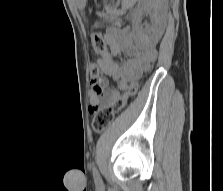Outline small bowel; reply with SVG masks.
<instances>
[{
  "label": "small bowel",
  "instance_id": "1",
  "mask_svg": "<svg viewBox=\"0 0 223 191\" xmlns=\"http://www.w3.org/2000/svg\"><path fill=\"white\" fill-rule=\"evenodd\" d=\"M109 12L108 10L107 13ZM104 38L108 45V51L104 56L98 57L96 62H100L99 73L113 79L117 83V88L108 89V80L102 75L99 78H93L90 97L92 107L103 106L120 92L126 90L129 81L139 76L143 71H148L157 58L155 48H141L129 30L116 24L106 28ZM121 53L125 54L126 58L118 63L114 58Z\"/></svg>",
  "mask_w": 223,
  "mask_h": 191
}]
</instances>
